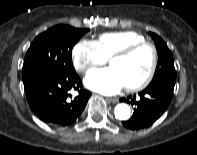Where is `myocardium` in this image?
<instances>
[{"instance_id":"f54148a6","label":"myocardium","mask_w":197,"mask_h":155,"mask_svg":"<svg viewBox=\"0 0 197 155\" xmlns=\"http://www.w3.org/2000/svg\"><path fill=\"white\" fill-rule=\"evenodd\" d=\"M142 48H149L151 50V53H152L151 67L149 69V72L147 73V75L145 76V78L142 81H140L139 83H136L134 85L125 86L126 90L129 92H137V91L143 90L153 80L154 75L157 70V66H158L157 48L155 47V45L153 43L148 42V41H143V42L134 43V44L125 46V47L119 49L118 51H116L115 53H113L109 58V63L111 64V62L114 59L130 56L131 54L135 53L136 51H138Z\"/></svg>"}]
</instances>
